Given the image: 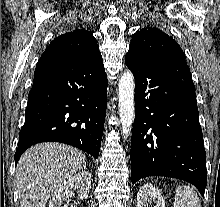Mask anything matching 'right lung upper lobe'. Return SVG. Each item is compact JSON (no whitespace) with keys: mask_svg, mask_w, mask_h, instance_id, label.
I'll list each match as a JSON object with an SVG mask.
<instances>
[{"mask_svg":"<svg viewBox=\"0 0 220 207\" xmlns=\"http://www.w3.org/2000/svg\"><path fill=\"white\" fill-rule=\"evenodd\" d=\"M93 34L76 29L55 38L40 57L37 66L66 65L80 62L99 53Z\"/></svg>","mask_w":220,"mask_h":207,"instance_id":"1","label":"right lung upper lobe"}]
</instances>
